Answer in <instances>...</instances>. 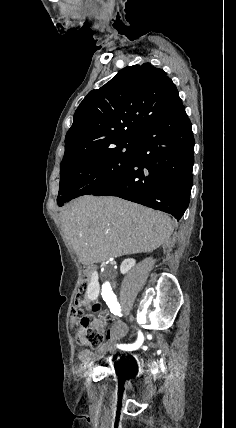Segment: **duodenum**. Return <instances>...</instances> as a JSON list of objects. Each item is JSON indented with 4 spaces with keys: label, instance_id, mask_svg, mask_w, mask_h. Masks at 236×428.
I'll return each mask as SVG.
<instances>
[{
    "label": "duodenum",
    "instance_id": "410a0bca",
    "mask_svg": "<svg viewBox=\"0 0 236 428\" xmlns=\"http://www.w3.org/2000/svg\"><path fill=\"white\" fill-rule=\"evenodd\" d=\"M93 271H94V267H93V266H89V267H87V269H86V275H87L88 277H91V276H92V274H93Z\"/></svg>",
    "mask_w": 236,
    "mask_h": 428
}]
</instances>
